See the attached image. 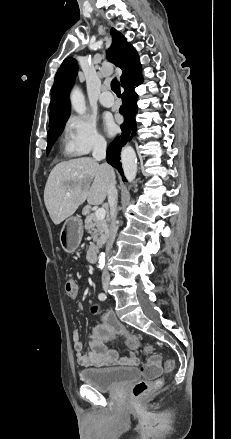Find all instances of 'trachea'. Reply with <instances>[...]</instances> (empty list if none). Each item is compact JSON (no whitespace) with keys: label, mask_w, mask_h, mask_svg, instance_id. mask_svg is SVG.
<instances>
[{"label":"trachea","mask_w":231,"mask_h":439,"mask_svg":"<svg viewBox=\"0 0 231 439\" xmlns=\"http://www.w3.org/2000/svg\"><path fill=\"white\" fill-rule=\"evenodd\" d=\"M111 89L113 90V92H114L118 97H120V95H121V91H120V83H119V81H118L116 78H114V79L111 81Z\"/></svg>","instance_id":"trachea-1"}]
</instances>
